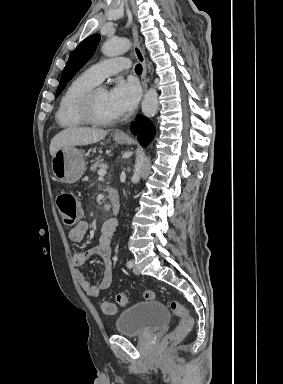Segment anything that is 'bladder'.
<instances>
[{
	"instance_id": "obj_1",
	"label": "bladder",
	"mask_w": 283,
	"mask_h": 384,
	"mask_svg": "<svg viewBox=\"0 0 283 384\" xmlns=\"http://www.w3.org/2000/svg\"><path fill=\"white\" fill-rule=\"evenodd\" d=\"M169 319L170 313L161 301L138 302L120 311L114 329L118 335L141 337L163 327Z\"/></svg>"
}]
</instances>
